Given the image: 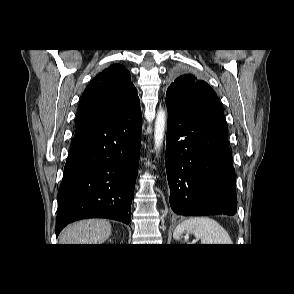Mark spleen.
<instances>
[{
  "mask_svg": "<svg viewBox=\"0 0 294 294\" xmlns=\"http://www.w3.org/2000/svg\"><path fill=\"white\" fill-rule=\"evenodd\" d=\"M183 233H192L201 244H232L227 231L210 217H191L176 226L173 238L181 239Z\"/></svg>",
  "mask_w": 294,
  "mask_h": 294,
  "instance_id": "obj_1",
  "label": "spleen"
}]
</instances>
